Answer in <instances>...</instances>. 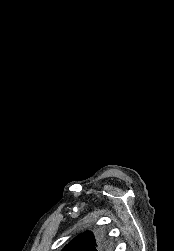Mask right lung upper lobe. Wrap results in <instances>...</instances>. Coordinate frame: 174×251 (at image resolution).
I'll return each mask as SVG.
<instances>
[{"mask_svg":"<svg viewBox=\"0 0 174 251\" xmlns=\"http://www.w3.org/2000/svg\"><path fill=\"white\" fill-rule=\"evenodd\" d=\"M99 241L94 237L90 231L78 235L62 251H96Z\"/></svg>","mask_w":174,"mask_h":251,"instance_id":"obj_1","label":"right lung upper lobe"}]
</instances>
